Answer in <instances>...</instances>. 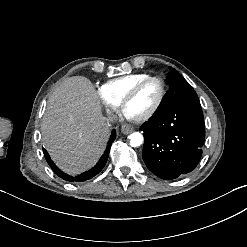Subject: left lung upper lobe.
Segmentation results:
<instances>
[{"mask_svg": "<svg viewBox=\"0 0 247 247\" xmlns=\"http://www.w3.org/2000/svg\"><path fill=\"white\" fill-rule=\"evenodd\" d=\"M169 69L171 70L170 74L168 75L170 89L165 94L155 114H158L165 109L177 104H200L199 98L192 86L182 77L178 71L171 67H169Z\"/></svg>", "mask_w": 247, "mask_h": 247, "instance_id": "1", "label": "left lung upper lobe"}]
</instances>
